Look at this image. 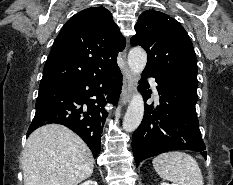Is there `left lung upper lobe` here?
<instances>
[{
	"label": "left lung upper lobe",
	"mask_w": 233,
	"mask_h": 185,
	"mask_svg": "<svg viewBox=\"0 0 233 185\" xmlns=\"http://www.w3.org/2000/svg\"><path fill=\"white\" fill-rule=\"evenodd\" d=\"M133 46L143 47L148 56L145 71L160 78H187L197 81V62L192 42L174 18L147 10L135 25Z\"/></svg>",
	"instance_id": "5c2ea615"
}]
</instances>
